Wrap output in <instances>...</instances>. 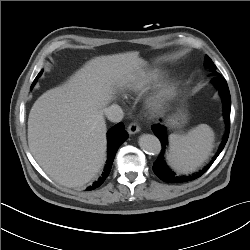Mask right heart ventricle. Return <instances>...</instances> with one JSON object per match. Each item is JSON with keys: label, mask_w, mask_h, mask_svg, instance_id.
<instances>
[{"label": "right heart ventricle", "mask_w": 250, "mask_h": 250, "mask_svg": "<svg viewBox=\"0 0 250 250\" xmlns=\"http://www.w3.org/2000/svg\"><path fill=\"white\" fill-rule=\"evenodd\" d=\"M164 75L165 72L157 68L143 71L129 82L127 89L132 92L145 90L160 81Z\"/></svg>", "instance_id": "obj_1"}]
</instances>
